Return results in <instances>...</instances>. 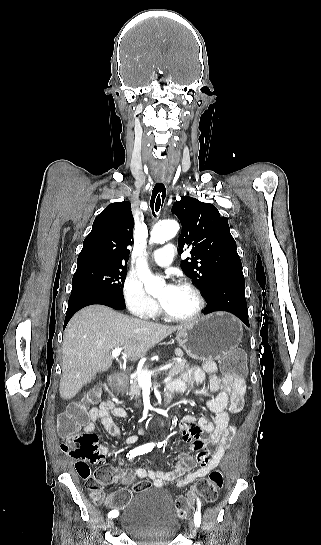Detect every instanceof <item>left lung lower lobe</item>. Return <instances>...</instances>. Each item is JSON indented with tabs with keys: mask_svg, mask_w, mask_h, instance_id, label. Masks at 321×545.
Listing matches in <instances>:
<instances>
[{
	"mask_svg": "<svg viewBox=\"0 0 321 545\" xmlns=\"http://www.w3.org/2000/svg\"><path fill=\"white\" fill-rule=\"evenodd\" d=\"M244 292L245 280L243 272L231 273L219 277L212 282L209 292L204 295L207 306L203 313L227 311L237 316L249 326L248 309Z\"/></svg>",
	"mask_w": 321,
	"mask_h": 545,
	"instance_id": "0a47b994",
	"label": "left lung lower lobe"
}]
</instances>
